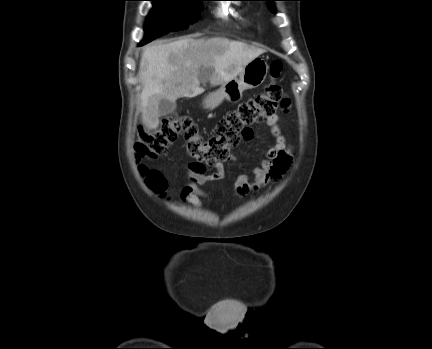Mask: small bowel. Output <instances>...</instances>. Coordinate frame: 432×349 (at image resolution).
Returning <instances> with one entry per match:
<instances>
[{
	"instance_id": "c3829d8e",
	"label": "small bowel",
	"mask_w": 432,
	"mask_h": 349,
	"mask_svg": "<svg viewBox=\"0 0 432 349\" xmlns=\"http://www.w3.org/2000/svg\"><path fill=\"white\" fill-rule=\"evenodd\" d=\"M278 121L279 117L276 114L266 120L273 137V145L267 150L261 162L252 168L253 180L248 174L241 173L238 175L235 187L239 193H246L251 189L264 186L270 181L278 179L289 168L292 157ZM187 176L190 183L184 187L183 196L190 204L200 208L203 205V199H209L207 193L200 186L223 179L224 171L218 167L214 172L207 173L205 166L198 162H191L187 166Z\"/></svg>"
}]
</instances>
